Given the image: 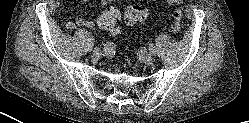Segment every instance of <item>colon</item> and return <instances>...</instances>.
<instances>
[{"instance_id":"1","label":"colon","mask_w":249,"mask_h":123,"mask_svg":"<svg viewBox=\"0 0 249 123\" xmlns=\"http://www.w3.org/2000/svg\"><path fill=\"white\" fill-rule=\"evenodd\" d=\"M167 3L175 6L172 14V25L171 30L174 33H179L181 30V21L183 17L182 11V0H165ZM148 10L140 5H130L126 8L124 12V21L129 25L143 24L148 18ZM120 19L119 12L114 8H109L103 12V14L98 19L99 26L111 33L114 36L120 34L118 28V21Z\"/></svg>"}]
</instances>
